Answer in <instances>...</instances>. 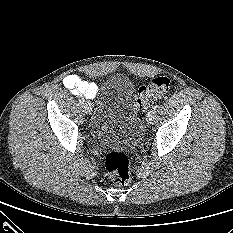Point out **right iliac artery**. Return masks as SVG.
Here are the masks:
<instances>
[{"label":"right iliac artery","mask_w":233,"mask_h":233,"mask_svg":"<svg viewBox=\"0 0 233 233\" xmlns=\"http://www.w3.org/2000/svg\"><path fill=\"white\" fill-rule=\"evenodd\" d=\"M78 101H79L80 104L84 103V99L83 98H79Z\"/></svg>","instance_id":"1"}]
</instances>
